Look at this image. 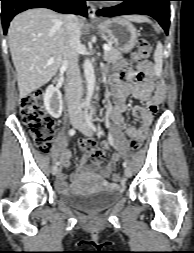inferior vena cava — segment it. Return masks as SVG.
<instances>
[{
	"mask_svg": "<svg viewBox=\"0 0 194 253\" xmlns=\"http://www.w3.org/2000/svg\"><path fill=\"white\" fill-rule=\"evenodd\" d=\"M64 26L67 37V47L63 63L67 68V106L70 119H82L81 97L83 86L78 65V49L80 45V29L78 18L69 14L65 16Z\"/></svg>",
	"mask_w": 194,
	"mask_h": 253,
	"instance_id": "1",
	"label": "inferior vena cava"
}]
</instances>
